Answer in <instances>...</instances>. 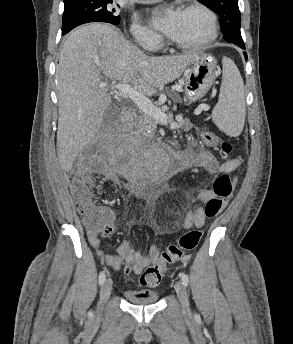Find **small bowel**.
I'll return each instance as SVG.
<instances>
[{
  "label": "small bowel",
  "instance_id": "obj_1",
  "mask_svg": "<svg viewBox=\"0 0 293 344\" xmlns=\"http://www.w3.org/2000/svg\"><path fill=\"white\" fill-rule=\"evenodd\" d=\"M182 130H189L191 123L189 120H184L181 123ZM188 155L189 163L184 166L183 170H203L210 176H217L222 173H230L236 170L241 165V159L236 158L220 163L215 155L195 143L185 151ZM234 184L237 179L234 178ZM214 196V192L211 189H202L194 193L191 197L192 207L188 209L183 217L182 225L188 229L193 226L202 227L206 222L207 216L202 207V204L207 203ZM227 201L224 202V205ZM153 234L158 235L162 231L168 228L167 224L151 225ZM114 228V227H113ZM90 243L92 247L97 251L100 259L114 270H120L125 265L126 273H134L140 275L144 268L157 261L160 250L156 244H152L149 248L148 254L143 255L140 252L135 251L132 243L129 240H124L119 245V251L117 255L106 254L100 249V239L96 236L90 237ZM189 259V255L182 258V262H186Z\"/></svg>",
  "mask_w": 293,
  "mask_h": 344
}]
</instances>
